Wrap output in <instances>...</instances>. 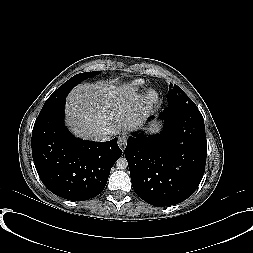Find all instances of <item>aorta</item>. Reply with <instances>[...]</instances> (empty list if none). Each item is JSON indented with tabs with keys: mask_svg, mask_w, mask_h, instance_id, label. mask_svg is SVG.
Segmentation results:
<instances>
[{
	"mask_svg": "<svg viewBox=\"0 0 253 253\" xmlns=\"http://www.w3.org/2000/svg\"><path fill=\"white\" fill-rule=\"evenodd\" d=\"M127 166H128V161H127V159L125 157H120L119 159H117V161H116V167L118 169L123 170V169H126Z\"/></svg>",
	"mask_w": 253,
	"mask_h": 253,
	"instance_id": "1",
	"label": "aorta"
}]
</instances>
